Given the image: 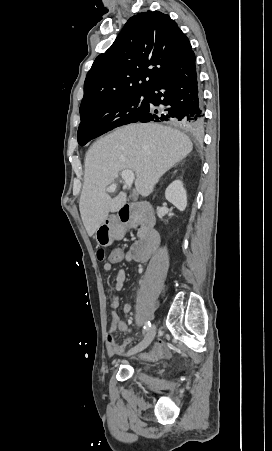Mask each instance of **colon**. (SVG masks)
Segmentation results:
<instances>
[{
    "instance_id": "colon-1",
    "label": "colon",
    "mask_w": 272,
    "mask_h": 451,
    "mask_svg": "<svg viewBox=\"0 0 272 451\" xmlns=\"http://www.w3.org/2000/svg\"><path fill=\"white\" fill-rule=\"evenodd\" d=\"M97 256L100 261H103L105 258L118 260L122 256V251L119 249H98ZM108 341L110 344H113L114 337L111 331H109Z\"/></svg>"
}]
</instances>
